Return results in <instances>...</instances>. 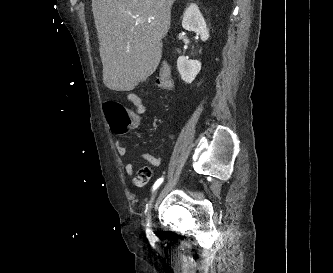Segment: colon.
I'll use <instances>...</instances> for the list:
<instances>
[{"label":"colon","instance_id":"1","mask_svg":"<svg viewBox=\"0 0 333 273\" xmlns=\"http://www.w3.org/2000/svg\"><path fill=\"white\" fill-rule=\"evenodd\" d=\"M157 86L161 89L168 90L172 87L171 71L168 64L163 63L156 75ZM104 112L111 129L116 133H123L130 128L135 118L131 111L127 110L122 104L115 101L104 103ZM152 170L148 166H142L136 175V181L145 184L149 181Z\"/></svg>","mask_w":333,"mask_h":273}]
</instances>
